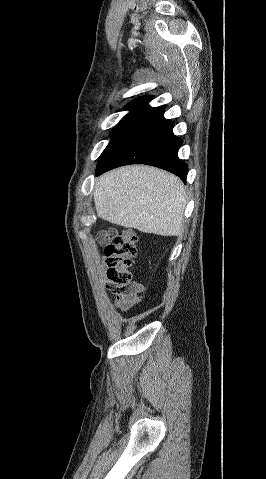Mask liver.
I'll return each mask as SVG.
<instances>
[{
  "instance_id": "6515ba94",
  "label": "liver",
  "mask_w": 266,
  "mask_h": 479,
  "mask_svg": "<svg viewBox=\"0 0 266 479\" xmlns=\"http://www.w3.org/2000/svg\"><path fill=\"white\" fill-rule=\"evenodd\" d=\"M94 203L104 220L148 234H182L185 186L175 175L145 165L120 167L95 182Z\"/></svg>"
}]
</instances>
